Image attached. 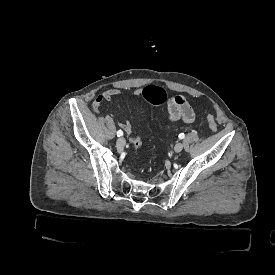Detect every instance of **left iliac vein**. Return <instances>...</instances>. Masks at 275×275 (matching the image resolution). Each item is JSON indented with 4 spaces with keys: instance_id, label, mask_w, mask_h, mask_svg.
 Returning <instances> with one entry per match:
<instances>
[{
    "instance_id": "1",
    "label": "left iliac vein",
    "mask_w": 275,
    "mask_h": 275,
    "mask_svg": "<svg viewBox=\"0 0 275 275\" xmlns=\"http://www.w3.org/2000/svg\"><path fill=\"white\" fill-rule=\"evenodd\" d=\"M182 149H183V144L180 143V142L177 143V144L175 145V147H174V151L177 152V153L181 152Z\"/></svg>"
}]
</instances>
